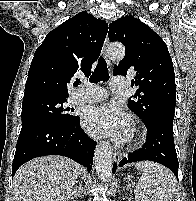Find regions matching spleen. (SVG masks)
<instances>
[{
	"mask_svg": "<svg viewBox=\"0 0 196 201\" xmlns=\"http://www.w3.org/2000/svg\"><path fill=\"white\" fill-rule=\"evenodd\" d=\"M142 176L136 186V201H175L176 178L165 167L155 162H137Z\"/></svg>",
	"mask_w": 196,
	"mask_h": 201,
	"instance_id": "spleen-1",
	"label": "spleen"
}]
</instances>
